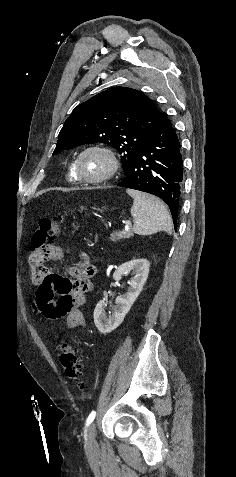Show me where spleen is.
Instances as JSON below:
<instances>
[{
	"label": "spleen",
	"mask_w": 236,
	"mask_h": 477,
	"mask_svg": "<svg viewBox=\"0 0 236 477\" xmlns=\"http://www.w3.org/2000/svg\"><path fill=\"white\" fill-rule=\"evenodd\" d=\"M133 198L131 215L133 230L138 235H151L158 231L172 233V220L164 204L156 197L137 190L127 189Z\"/></svg>",
	"instance_id": "3e777b00"
}]
</instances>
